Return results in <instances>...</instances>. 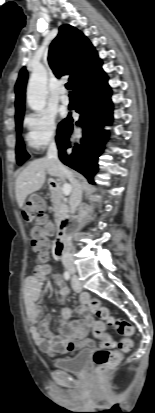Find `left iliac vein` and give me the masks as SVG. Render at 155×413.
Wrapping results in <instances>:
<instances>
[{"mask_svg":"<svg viewBox=\"0 0 155 413\" xmlns=\"http://www.w3.org/2000/svg\"><path fill=\"white\" fill-rule=\"evenodd\" d=\"M72 288L77 293L82 291L81 283H80L79 279L76 276H74L72 278Z\"/></svg>","mask_w":155,"mask_h":413,"instance_id":"1","label":"left iliac vein"}]
</instances>
